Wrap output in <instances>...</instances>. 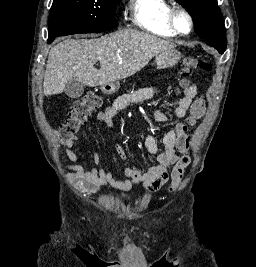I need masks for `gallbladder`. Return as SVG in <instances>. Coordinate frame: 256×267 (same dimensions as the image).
<instances>
[{"label":"gallbladder","instance_id":"bac80fb5","mask_svg":"<svg viewBox=\"0 0 256 267\" xmlns=\"http://www.w3.org/2000/svg\"><path fill=\"white\" fill-rule=\"evenodd\" d=\"M84 88L85 86L82 82H77V80L73 78V80L67 82L64 92L68 98H80L84 92Z\"/></svg>","mask_w":256,"mask_h":267}]
</instances>
